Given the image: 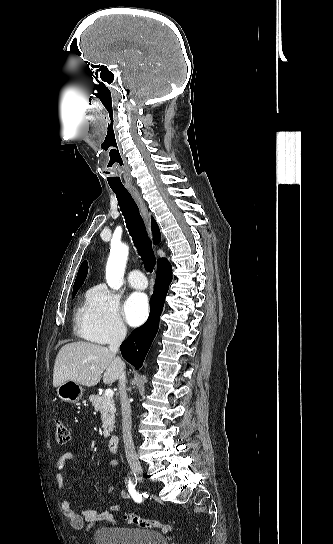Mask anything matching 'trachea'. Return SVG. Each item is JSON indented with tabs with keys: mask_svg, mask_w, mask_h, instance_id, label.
I'll return each mask as SVG.
<instances>
[{
	"mask_svg": "<svg viewBox=\"0 0 333 544\" xmlns=\"http://www.w3.org/2000/svg\"><path fill=\"white\" fill-rule=\"evenodd\" d=\"M112 190L116 194L120 210L125 218L126 226L134 245L141 256L143 264L148 272H152L156 264L155 255L139 208L127 190Z\"/></svg>",
	"mask_w": 333,
	"mask_h": 544,
	"instance_id": "3493384b",
	"label": "trachea"
}]
</instances>
